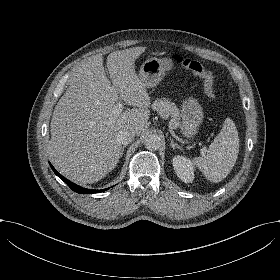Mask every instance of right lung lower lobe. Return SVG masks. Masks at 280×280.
<instances>
[{
  "label": "right lung lower lobe",
  "instance_id": "right-lung-lower-lobe-1",
  "mask_svg": "<svg viewBox=\"0 0 280 280\" xmlns=\"http://www.w3.org/2000/svg\"><path fill=\"white\" fill-rule=\"evenodd\" d=\"M52 170L54 171V173L60 177L73 191L79 193V194H92V193H99V192H103L109 188L103 189V190H89L83 187H80L72 182H70L68 179H66L65 177H63L51 164H50Z\"/></svg>",
  "mask_w": 280,
  "mask_h": 280
}]
</instances>
